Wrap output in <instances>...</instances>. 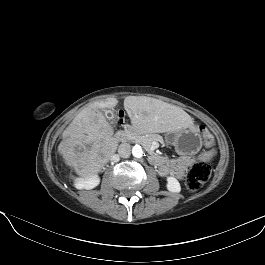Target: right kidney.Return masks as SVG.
Returning <instances> with one entry per match:
<instances>
[{"label":"right kidney","mask_w":265,"mask_h":265,"mask_svg":"<svg viewBox=\"0 0 265 265\" xmlns=\"http://www.w3.org/2000/svg\"><path fill=\"white\" fill-rule=\"evenodd\" d=\"M100 183V178L97 174H94L88 178H79L75 182V187L77 189H93Z\"/></svg>","instance_id":"right-kidney-1"}]
</instances>
